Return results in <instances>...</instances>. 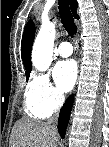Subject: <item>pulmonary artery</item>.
Here are the masks:
<instances>
[{
	"label": "pulmonary artery",
	"instance_id": "obj_1",
	"mask_svg": "<svg viewBox=\"0 0 109 147\" xmlns=\"http://www.w3.org/2000/svg\"><path fill=\"white\" fill-rule=\"evenodd\" d=\"M57 53L61 57H69L73 53V47L71 43L65 41L59 44Z\"/></svg>",
	"mask_w": 109,
	"mask_h": 147
}]
</instances>
